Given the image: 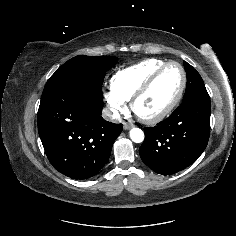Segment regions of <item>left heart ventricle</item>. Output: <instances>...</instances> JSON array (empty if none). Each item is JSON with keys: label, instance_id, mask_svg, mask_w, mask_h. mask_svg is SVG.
Returning a JSON list of instances; mask_svg holds the SVG:
<instances>
[{"label": "left heart ventricle", "instance_id": "b2bd125f", "mask_svg": "<svg viewBox=\"0 0 236 236\" xmlns=\"http://www.w3.org/2000/svg\"><path fill=\"white\" fill-rule=\"evenodd\" d=\"M182 82L180 69L172 65L157 79L151 89L138 101L137 111L143 116H154L164 110L177 95Z\"/></svg>", "mask_w": 236, "mask_h": 236}]
</instances>
